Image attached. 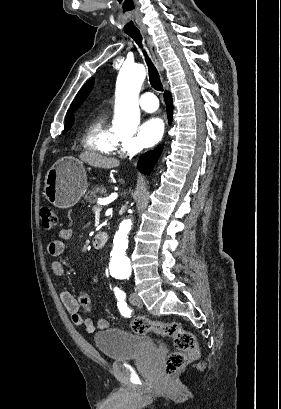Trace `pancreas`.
<instances>
[{
    "instance_id": "obj_1",
    "label": "pancreas",
    "mask_w": 281,
    "mask_h": 409,
    "mask_svg": "<svg viewBox=\"0 0 281 409\" xmlns=\"http://www.w3.org/2000/svg\"><path fill=\"white\" fill-rule=\"evenodd\" d=\"M107 190L106 186H94V188H91V190H88L85 194L86 200H96V198H103V196H106Z\"/></svg>"
}]
</instances>
